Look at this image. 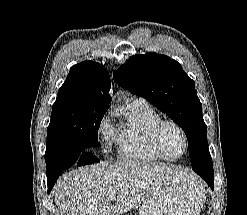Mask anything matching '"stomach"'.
Returning <instances> with one entry per match:
<instances>
[{"label": "stomach", "mask_w": 247, "mask_h": 215, "mask_svg": "<svg viewBox=\"0 0 247 215\" xmlns=\"http://www.w3.org/2000/svg\"><path fill=\"white\" fill-rule=\"evenodd\" d=\"M202 182L192 174H179L145 200L139 215H199L205 201Z\"/></svg>", "instance_id": "stomach-1"}]
</instances>
